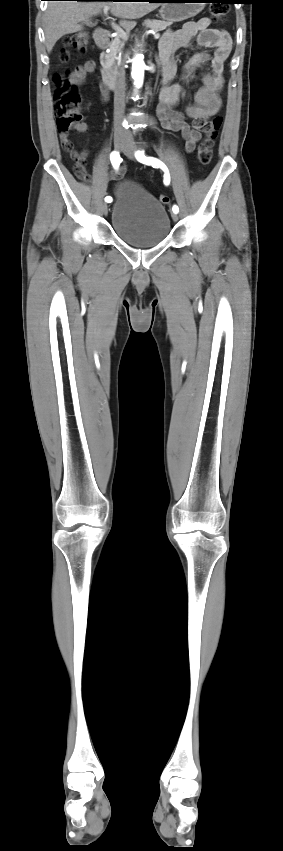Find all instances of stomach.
Returning a JSON list of instances; mask_svg holds the SVG:
<instances>
[{
  "instance_id": "obj_1",
  "label": "stomach",
  "mask_w": 283,
  "mask_h": 851,
  "mask_svg": "<svg viewBox=\"0 0 283 851\" xmlns=\"http://www.w3.org/2000/svg\"><path fill=\"white\" fill-rule=\"evenodd\" d=\"M203 0H168L160 9L161 18L167 22H179L196 16L203 8Z\"/></svg>"
}]
</instances>
